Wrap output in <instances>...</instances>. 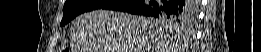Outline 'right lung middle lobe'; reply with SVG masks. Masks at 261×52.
Listing matches in <instances>:
<instances>
[{"mask_svg":"<svg viewBox=\"0 0 261 52\" xmlns=\"http://www.w3.org/2000/svg\"><path fill=\"white\" fill-rule=\"evenodd\" d=\"M113 0H66L63 9V19L61 21L60 26H64L69 21H71L77 15L88 12L91 10L103 8L104 6L110 4ZM191 9L179 16H160L158 17L162 21H166L168 23H176L187 20H192L193 17H189L191 15L192 10L194 9V3L188 2Z\"/></svg>","mask_w":261,"mask_h":52,"instance_id":"dd1d6c3e","label":"right lung middle lobe"}]
</instances>
